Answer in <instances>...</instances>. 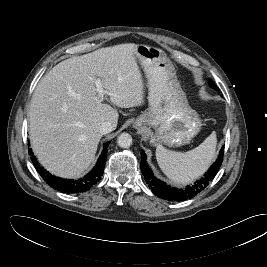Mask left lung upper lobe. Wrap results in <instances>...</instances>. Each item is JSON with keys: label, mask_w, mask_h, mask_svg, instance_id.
<instances>
[{"label": "left lung upper lobe", "mask_w": 267, "mask_h": 267, "mask_svg": "<svg viewBox=\"0 0 267 267\" xmlns=\"http://www.w3.org/2000/svg\"><path fill=\"white\" fill-rule=\"evenodd\" d=\"M210 85H211L213 88H215V89L217 88V87L214 85V83L211 82V81H210Z\"/></svg>", "instance_id": "obj_1"}]
</instances>
